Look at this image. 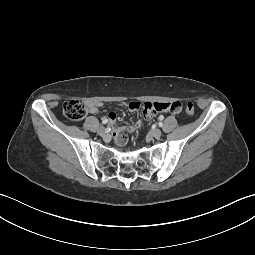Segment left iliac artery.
Instances as JSON below:
<instances>
[{
	"label": "left iliac artery",
	"instance_id": "1",
	"mask_svg": "<svg viewBox=\"0 0 255 255\" xmlns=\"http://www.w3.org/2000/svg\"><path fill=\"white\" fill-rule=\"evenodd\" d=\"M159 126L162 127V122L159 123Z\"/></svg>",
	"mask_w": 255,
	"mask_h": 255
}]
</instances>
